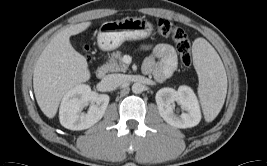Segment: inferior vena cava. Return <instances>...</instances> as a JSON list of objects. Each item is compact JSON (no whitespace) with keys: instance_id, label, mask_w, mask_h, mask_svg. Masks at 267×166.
Listing matches in <instances>:
<instances>
[{"instance_id":"1","label":"inferior vena cava","mask_w":267,"mask_h":166,"mask_svg":"<svg viewBox=\"0 0 267 166\" xmlns=\"http://www.w3.org/2000/svg\"><path fill=\"white\" fill-rule=\"evenodd\" d=\"M126 81L125 76L122 74H109L106 75L101 83L106 91H113Z\"/></svg>"}]
</instances>
